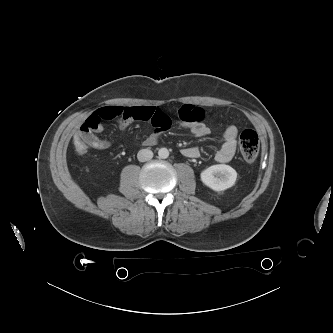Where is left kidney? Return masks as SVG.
Wrapping results in <instances>:
<instances>
[{"instance_id":"1","label":"left kidney","mask_w":333,"mask_h":333,"mask_svg":"<svg viewBox=\"0 0 333 333\" xmlns=\"http://www.w3.org/2000/svg\"><path fill=\"white\" fill-rule=\"evenodd\" d=\"M202 182L214 191H223L232 187L237 179V172L229 165L210 166L201 172Z\"/></svg>"}]
</instances>
